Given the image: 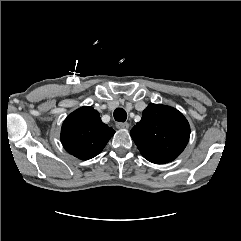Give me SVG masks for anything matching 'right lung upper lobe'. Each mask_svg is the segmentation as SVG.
<instances>
[{"label": "right lung upper lobe", "instance_id": "obj_1", "mask_svg": "<svg viewBox=\"0 0 241 241\" xmlns=\"http://www.w3.org/2000/svg\"><path fill=\"white\" fill-rule=\"evenodd\" d=\"M115 131L101 121L92 107H81L63 122L61 142L65 150L75 157L88 160L98 155Z\"/></svg>", "mask_w": 241, "mask_h": 241}]
</instances>
